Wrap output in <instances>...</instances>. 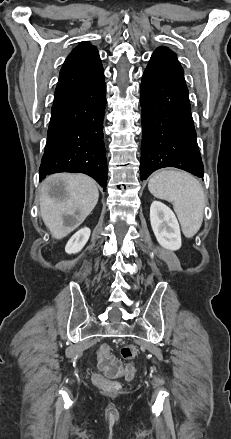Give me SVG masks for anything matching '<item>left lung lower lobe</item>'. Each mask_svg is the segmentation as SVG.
<instances>
[{
    "mask_svg": "<svg viewBox=\"0 0 231 439\" xmlns=\"http://www.w3.org/2000/svg\"><path fill=\"white\" fill-rule=\"evenodd\" d=\"M184 71L175 53L161 47L153 53L141 83V180L163 167L203 177Z\"/></svg>",
    "mask_w": 231,
    "mask_h": 439,
    "instance_id": "1",
    "label": "left lung lower lobe"
}]
</instances>
